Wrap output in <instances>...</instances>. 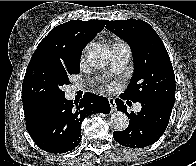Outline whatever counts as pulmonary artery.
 Listing matches in <instances>:
<instances>
[{
    "mask_svg": "<svg viewBox=\"0 0 196 166\" xmlns=\"http://www.w3.org/2000/svg\"><path fill=\"white\" fill-rule=\"evenodd\" d=\"M130 58V49L128 45L122 42L115 43L112 46V60H111V71L118 73L122 71L127 65ZM74 90L79 89L78 86L73 87ZM141 105L136 104L134 110L136 112L140 111Z\"/></svg>",
    "mask_w": 196,
    "mask_h": 166,
    "instance_id": "pulmonary-artery-1",
    "label": "pulmonary artery"
}]
</instances>
